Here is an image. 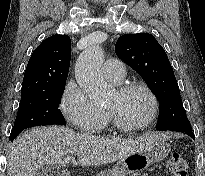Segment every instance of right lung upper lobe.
I'll list each match as a JSON object with an SVG mask.
<instances>
[{"label": "right lung upper lobe", "mask_w": 205, "mask_h": 176, "mask_svg": "<svg viewBox=\"0 0 205 176\" xmlns=\"http://www.w3.org/2000/svg\"><path fill=\"white\" fill-rule=\"evenodd\" d=\"M70 56L69 36L53 35L43 40L29 59L22 83V96L65 84Z\"/></svg>", "instance_id": "obj_1"}]
</instances>
